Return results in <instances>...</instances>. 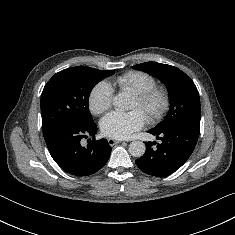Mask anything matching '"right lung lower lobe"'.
I'll return each instance as SVG.
<instances>
[{
  "label": "right lung lower lobe",
  "mask_w": 235,
  "mask_h": 235,
  "mask_svg": "<svg viewBox=\"0 0 235 235\" xmlns=\"http://www.w3.org/2000/svg\"><path fill=\"white\" fill-rule=\"evenodd\" d=\"M95 123L82 127L64 125L45 138L54 161L66 172L75 176H88L100 170L108 161L112 148L106 139L95 140L83 147L82 138L95 137Z\"/></svg>",
  "instance_id": "1"
}]
</instances>
